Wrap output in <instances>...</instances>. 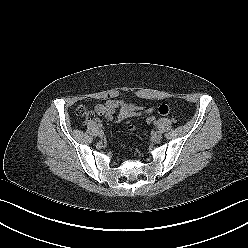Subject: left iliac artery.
Wrapping results in <instances>:
<instances>
[{
    "instance_id": "44dca946",
    "label": "left iliac artery",
    "mask_w": 248,
    "mask_h": 248,
    "mask_svg": "<svg viewBox=\"0 0 248 248\" xmlns=\"http://www.w3.org/2000/svg\"><path fill=\"white\" fill-rule=\"evenodd\" d=\"M154 125H157V121H154Z\"/></svg>"
}]
</instances>
